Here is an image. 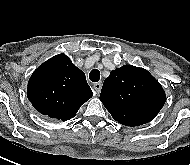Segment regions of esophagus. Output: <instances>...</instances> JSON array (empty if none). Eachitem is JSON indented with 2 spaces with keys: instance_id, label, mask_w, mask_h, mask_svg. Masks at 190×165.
<instances>
[{
  "instance_id": "34e87169",
  "label": "esophagus",
  "mask_w": 190,
  "mask_h": 165,
  "mask_svg": "<svg viewBox=\"0 0 190 165\" xmlns=\"http://www.w3.org/2000/svg\"><path fill=\"white\" fill-rule=\"evenodd\" d=\"M94 91L96 94H99L101 92L102 84L101 82L95 83L93 85Z\"/></svg>"
}]
</instances>
